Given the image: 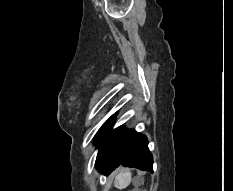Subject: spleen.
I'll return each instance as SVG.
<instances>
[{
  "label": "spleen",
  "instance_id": "1",
  "mask_svg": "<svg viewBox=\"0 0 233 191\" xmlns=\"http://www.w3.org/2000/svg\"><path fill=\"white\" fill-rule=\"evenodd\" d=\"M131 182V173L127 171L120 172L114 182V186L118 189L126 188Z\"/></svg>",
  "mask_w": 233,
  "mask_h": 191
}]
</instances>
